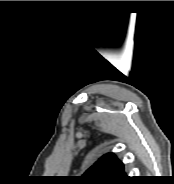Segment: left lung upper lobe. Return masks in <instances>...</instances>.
I'll list each match as a JSON object with an SVG mask.
<instances>
[{"instance_id": "left-lung-upper-lobe-1", "label": "left lung upper lobe", "mask_w": 174, "mask_h": 184, "mask_svg": "<svg viewBox=\"0 0 174 184\" xmlns=\"http://www.w3.org/2000/svg\"><path fill=\"white\" fill-rule=\"evenodd\" d=\"M84 184H121L130 179L113 153L105 154L80 178Z\"/></svg>"}]
</instances>
